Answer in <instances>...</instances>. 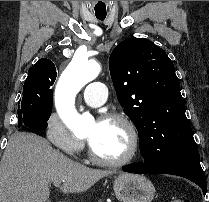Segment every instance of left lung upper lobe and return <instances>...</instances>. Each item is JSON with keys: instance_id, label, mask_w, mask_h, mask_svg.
Wrapping results in <instances>:
<instances>
[{"instance_id": "1", "label": "left lung upper lobe", "mask_w": 209, "mask_h": 202, "mask_svg": "<svg viewBox=\"0 0 209 202\" xmlns=\"http://www.w3.org/2000/svg\"><path fill=\"white\" fill-rule=\"evenodd\" d=\"M109 69L144 160L165 162L195 143L174 65L163 49L145 38L126 39L112 51Z\"/></svg>"}]
</instances>
